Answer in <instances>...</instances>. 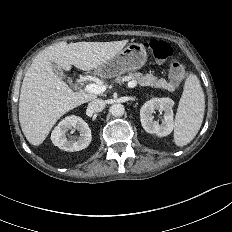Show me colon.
Instances as JSON below:
<instances>
[{
	"label": "colon",
	"instance_id": "obj_1",
	"mask_svg": "<svg viewBox=\"0 0 232 232\" xmlns=\"http://www.w3.org/2000/svg\"><path fill=\"white\" fill-rule=\"evenodd\" d=\"M146 48L153 54V56L159 61H166L173 55L172 46L159 39H151L145 43ZM186 76V70L184 66L176 59H171L169 77L174 84L181 83Z\"/></svg>",
	"mask_w": 232,
	"mask_h": 232
}]
</instances>
